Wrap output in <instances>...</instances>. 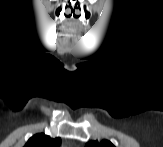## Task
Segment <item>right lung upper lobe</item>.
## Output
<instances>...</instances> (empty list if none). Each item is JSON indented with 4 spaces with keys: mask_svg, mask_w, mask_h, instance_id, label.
<instances>
[{
    "mask_svg": "<svg viewBox=\"0 0 163 147\" xmlns=\"http://www.w3.org/2000/svg\"><path fill=\"white\" fill-rule=\"evenodd\" d=\"M60 143L61 139L59 137L51 138L44 133H39L32 136L24 147H59Z\"/></svg>",
    "mask_w": 163,
    "mask_h": 147,
    "instance_id": "obj_1",
    "label": "right lung upper lobe"
}]
</instances>
